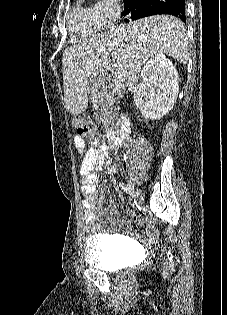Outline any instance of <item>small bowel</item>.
<instances>
[{
	"label": "small bowel",
	"mask_w": 227,
	"mask_h": 315,
	"mask_svg": "<svg viewBox=\"0 0 227 315\" xmlns=\"http://www.w3.org/2000/svg\"><path fill=\"white\" fill-rule=\"evenodd\" d=\"M73 143L76 150L82 155L79 174L81 177V192L84 197L82 200V209L85 222V231L88 234H96L100 225L97 223V212H104L107 216L113 217L117 213V207L114 200H109L108 207L102 210L100 202L105 197L97 195L96 179L97 173L102 166L110 167L112 160L108 157L109 148L105 145L92 144L86 148L82 137L75 135ZM96 202L98 204L96 205ZM128 219L141 224V218L131 210L126 211ZM145 238L151 237V232L145 233Z\"/></svg>",
	"instance_id": "c3829d8e"
}]
</instances>
